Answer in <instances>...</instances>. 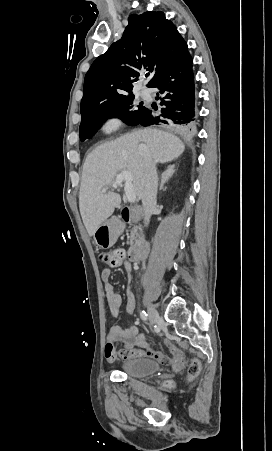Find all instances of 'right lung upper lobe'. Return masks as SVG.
Masks as SVG:
<instances>
[{"instance_id": "cb5924a9", "label": "right lung upper lobe", "mask_w": 272, "mask_h": 451, "mask_svg": "<svg viewBox=\"0 0 272 451\" xmlns=\"http://www.w3.org/2000/svg\"><path fill=\"white\" fill-rule=\"evenodd\" d=\"M122 38L91 65L84 80L81 113L97 105L131 96L140 72H151L148 87L188 52L187 43L163 12L130 15Z\"/></svg>"}]
</instances>
